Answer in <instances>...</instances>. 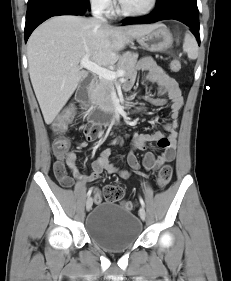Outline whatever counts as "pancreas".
I'll use <instances>...</instances> for the list:
<instances>
[{
    "label": "pancreas",
    "mask_w": 231,
    "mask_h": 281,
    "mask_svg": "<svg viewBox=\"0 0 231 281\" xmlns=\"http://www.w3.org/2000/svg\"><path fill=\"white\" fill-rule=\"evenodd\" d=\"M138 54L127 51L119 59L116 70H124L125 74L123 77L128 78L136 73L135 66L137 63ZM114 89L112 80L105 78H99L94 83L90 97L93 103H95L101 110L113 111L114 105L111 98V93Z\"/></svg>",
    "instance_id": "1"
}]
</instances>
